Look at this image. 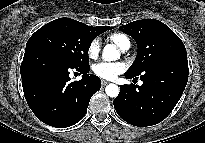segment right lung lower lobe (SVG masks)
<instances>
[{"label":"right lung lower lobe","instance_id":"98d812e1","mask_svg":"<svg viewBox=\"0 0 205 143\" xmlns=\"http://www.w3.org/2000/svg\"><path fill=\"white\" fill-rule=\"evenodd\" d=\"M71 69L83 74L80 81H70ZM89 71L90 67H73L44 49L26 48L20 73L30 109L49 126L74 125L84 117L90 98L101 88L100 78Z\"/></svg>","mask_w":205,"mask_h":143}]
</instances>
